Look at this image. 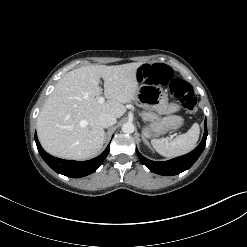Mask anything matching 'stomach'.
<instances>
[{
    "mask_svg": "<svg viewBox=\"0 0 247 247\" xmlns=\"http://www.w3.org/2000/svg\"><path fill=\"white\" fill-rule=\"evenodd\" d=\"M137 100L142 107L154 109L159 114L165 115L163 118L152 120L150 125L144 129L146 134L150 132L163 134L183 125L184 118L174 114L180 111V105L169 102L168 93L159 85L142 84L138 88Z\"/></svg>",
    "mask_w": 247,
    "mask_h": 247,
    "instance_id": "stomach-1",
    "label": "stomach"
}]
</instances>
